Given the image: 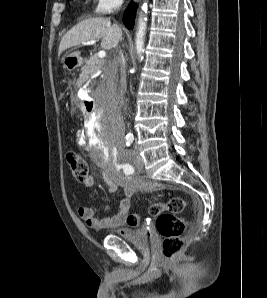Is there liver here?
<instances>
[{
    "label": "liver",
    "mask_w": 267,
    "mask_h": 298,
    "mask_svg": "<svg viewBox=\"0 0 267 298\" xmlns=\"http://www.w3.org/2000/svg\"><path fill=\"white\" fill-rule=\"evenodd\" d=\"M122 38V30L110 19L93 17L85 19L70 29L61 39L58 52L84 44L89 40L101 39V47L109 50L117 46ZM80 52H73L67 57H79Z\"/></svg>",
    "instance_id": "1"
}]
</instances>
